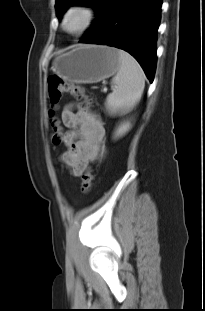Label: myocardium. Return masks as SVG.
<instances>
[{
	"instance_id": "myocardium-1",
	"label": "myocardium",
	"mask_w": 205,
	"mask_h": 311,
	"mask_svg": "<svg viewBox=\"0 0 205 311\" xmlns=\"http://www.w3.org/2000/svg\"><path fill=\"white\" fill-rule=\"evenodd\" d=\"M74 11H81L85 15V22L81 28L76 31H69L66 27L69 15ZM96 19L95 9L87 3L76 2L71 4L65 11L62 19V29L71 36H79L90 29Z\"/></svg>"
}]
</instances>
